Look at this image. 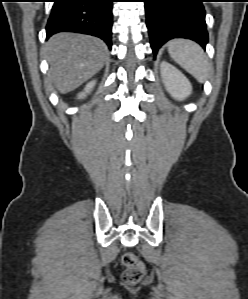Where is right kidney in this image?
<instances>
[{"label": "right kidney", "mask_w": 248, "mask_h": 299, "mask_svg": "<svg viewBox=\"0 0 248 299\" xmlns=\"http://www.w3.org/2000/svg\"><path fill=\"white\" fill-rule=\"evenodd\" d=\"M95 83H96L95 81H91V82H89V83L86 85L84 91L81 92V93H79L78 98H79V99H82V98H84L87 94H89V93L92 91L93 87L95 86Z\"/></svg>", "instance_id": "right-kidney-1"}]
</instances>
